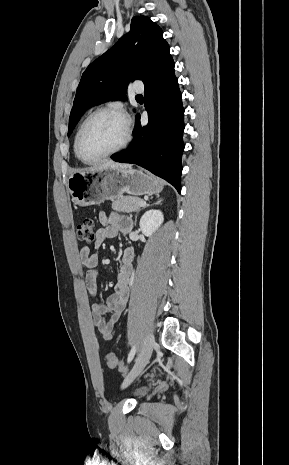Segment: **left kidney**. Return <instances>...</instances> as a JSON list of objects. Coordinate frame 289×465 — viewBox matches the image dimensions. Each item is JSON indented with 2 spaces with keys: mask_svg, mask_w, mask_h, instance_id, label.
<instances>
[{
  "mask_svg": "<svg viewBox=\"0 0 289 465\" xmlns=\"http://www.w3.org/2000/svg\"><path fill=\"white\" fill-rule=\"evenodd\" d=\"M164 221L163 214L160 210H148L140 219V229L146 236H151Z\"/></svg>",
  "mask_w": 289,
  "mask_h": 465,
  "instance_id": "left-kidney-1",
  "label": "left kidney"
}]
</instances>
